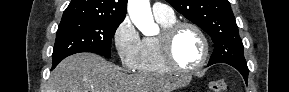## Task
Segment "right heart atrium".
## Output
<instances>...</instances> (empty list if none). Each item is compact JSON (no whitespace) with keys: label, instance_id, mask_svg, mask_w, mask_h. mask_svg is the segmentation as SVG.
Segmentation results:
<instances>
[{"label":"right heart atrium","instance_id":"right-heart-atrium-1","mask_svg":"<svg viewBox=\"0 0 289 92\" xmlns=\"http://www.w3.org/2000/svg\"><path fill=\"white\" fill-rule=\"evenodd\" d=\"M113 42L121 64L129 70L136 69L141 54V39L128 17L115 29Z\"/></svg>","mask_w":289,"mask_h":92}]
</instances>
